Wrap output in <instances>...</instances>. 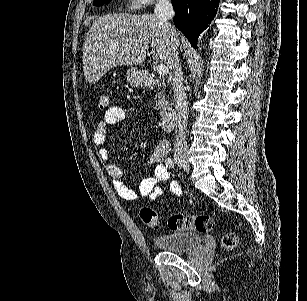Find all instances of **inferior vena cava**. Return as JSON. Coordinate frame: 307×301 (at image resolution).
I'll list each match as a JSON object with an SVG mask.
<instances>
[{
	"mask_svg": "<svg viewBox=\"0 0 307 301\" xmlns=\"http://www.w3.org/2000/svg\"><path fill=\"white\" fill-rule=\"evenodd\" d=\"M154 16H157V18H159V22H162L163 26H166L168 34L171 36L172 42L178 40V34L175 30V26L169 22V20L175 16V10L171 0H157L154 8ZM173 56V96L175 110L178 118V132L175 136L174 142V157H185V155L188 153L187 124L189 106L187 94L184 90L183 70L181 60L178 56L177 48H174Z\"/></svg>",
	"mask_w": 307,
	"mask_h": 301,
	"instance_id": "602c4592",
	"label": "inferior vena cava"
}]
</instances>
